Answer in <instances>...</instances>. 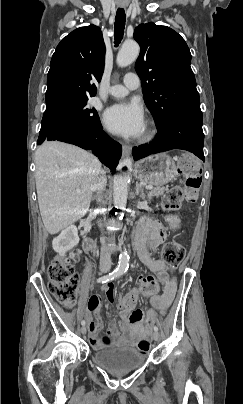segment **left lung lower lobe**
<instances>
[{"label":"left lung lower lobe","instance_id":"left-lung-lower-lobe-1","mask_svg":"<svg viewBox=\"0 0 243 404\" xmlns=\"http://www.w3.org/2000/svg\"><path fill=\"white\" fill-rule=\"evenodd\" d=\"M202 121L201 111L185 110L173 113L157 127L158 136L151 143L133 148L134 159L139 160L171 149H182L194 153L204 161Z\"/></svg>","mask_w":243,"mask_h":404}]
</instances>
